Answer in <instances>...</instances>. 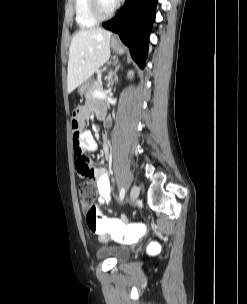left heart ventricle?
<instances>
[{"label": "left heart ventricle", "instance_id": "obj_1", "mask_svg": "<svg viewBox=\"0 0 247 304\" xmlns=\"http://www.w3.org/2000/svg\"><path fill=\"white\" fill-rule=\"evenodd\" d=\"M101 8L104 12H109L116 4L115 0H100Z\"/></svg>", "mask_w": 247, "mask_h": 304}]
</instances>
